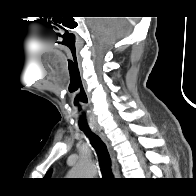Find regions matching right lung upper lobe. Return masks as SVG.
<instances>
[{
	"mask_svg": "<svg viewBox=\"0 0 196 196\" xmlns=\"http://www.w3.org/2000/svg\"><path fill=\"white\" fill-rule=\"evenodd\" d=\"M50 175H51V171H49V172L46 174L45 178H49Z\"/></svg>",
	"mask_w": 196,
	"mask_h": 196,
	"instance_id": "cb5924a9",
	"label": "right lung upper lobe"
}]
</instances>
